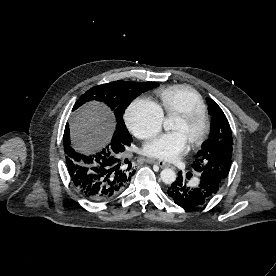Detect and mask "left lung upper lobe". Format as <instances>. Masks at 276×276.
I'll list each match as a JSON object with an SVG mask.
<instances>
[{
    "label": "left lung upper lobe",
    "mask_w": 276,
    "mask_h": 276,
    "mask_svg": "<svg viewBox=\"0 0 276 276\" xmlns=\"http://www.w3.org/2000/svg\"><path fill=\"white\" fill-rule=\"evenodd\" d=\"M209 114L212 116L209 139L203 143L198 152V158L193 162L192 168L201 173L218 177L222 184L228 177L232 162L233 139L229 122L221 108L210 98H207Z\"/></svg>",
    "instance_id": "obj_1"
}]
</instances>
